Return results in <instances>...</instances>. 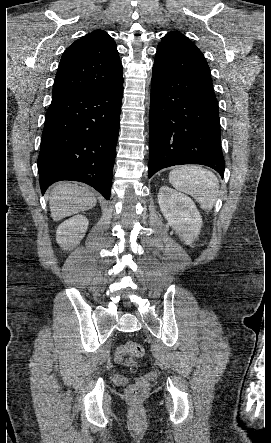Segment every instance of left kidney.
I'll list each match as a JSON object with an SVG mask.
<instances>
[{"label":"left kidney","mask_w":271,"mask_h":443,"mask_svg":"<svg viewBox=\"0 0 271 443\" xmlns=\"http://www.w3.org/2000/svg\"><path fill=\"white\" fill-rule=\"evenodd\" d=\"M158 204L169 225L190 245L198 237L202 225V218L191 198L162 186L158 194Z\"/></svg>","instance_id":"1"}]
</instances>
